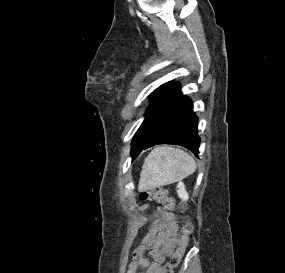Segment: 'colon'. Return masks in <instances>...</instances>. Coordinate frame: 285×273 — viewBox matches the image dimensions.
Masks as SVG:
<instances>
[{
  "instance_id": "colon-1",
  "label": "colon",
  "mask_w": 285,
  "mask_h": 273,
  "mask_svg": "<svg viewBox=\"0 0 285 273\" xmlns=\"http://www.w3.org/2000/svg\"><path fill=\"white\" fill-rule=\"evenodd\" d=\"M139 199L141 201H152L161 204L164 208L172 210L175 205L174 199L169 196L166 189L163 188H147L139 191ZM192 227L190 224H186L181 231L179 246L170 258L160 273H174L175 268L180 264L184 256L185 250L188 246Z\"/></svg>"
}]
</instances>
